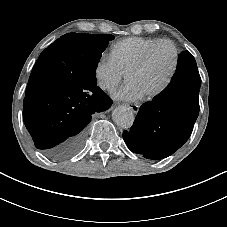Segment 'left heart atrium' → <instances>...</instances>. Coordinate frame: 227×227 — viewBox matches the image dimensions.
I'll list each match as a JSON object with an SVG mask.
<instances>
[{
  "label": "left heart atrium",
  "instance_id": "39dd6f15",
  "mask_svg": "<svg viewBox=\"0 0 227 227\" xmlns=\"http://www.w3.org/2000/svg\"><path fill=\"white\" fill-rule=\"evenodd\" d=\"M145 96L135 84L127 83L116 94L115 98L122 101H138Z\"/></svg>",
  "mask_w": 227,
  "mask_h": 227
}]
</instances>
